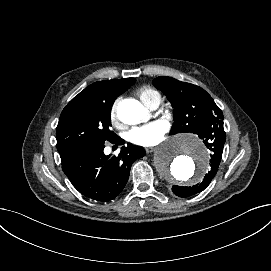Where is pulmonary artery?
<instances>
[{
	"mask_svg": "<svg viewBox=\"0 0 271 271\" xmlns=\"http://www.w3.org/2000/svg\"><path fill=\"white\" fill-rule=\"evenodd\" d=\"M159 104H160V99L159 98H153L148 102L147 106L150 109L155 110L159 106Z\"/></svg>",
	"mask_w": 271,
	"mask_h": 271,
	"instance_id": "e3ab8cb5",
	"label": "pulmonary artery"
}]
</instances>
